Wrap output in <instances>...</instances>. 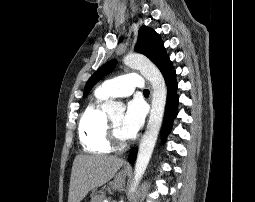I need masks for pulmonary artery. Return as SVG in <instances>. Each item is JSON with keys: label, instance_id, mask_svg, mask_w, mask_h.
Masks as SVG:
<instances>
[{"label": "pulmonary artery", "instance_id": "e3ab8cb5", "mask_svg": "<svg viewBox=\"0 0 255 202\" xmlns=\"http://www.w3.org/2000/svg\"><path fill=\"white\" fill-rule=\"evenodd\" d=\"M144 81L135 73H129L103 82L96 90L102 98L126 97L133 93L135 88L142 89Z\"/></svg>", "mask_w": 255, "mask_h": 202}]
</instances>
